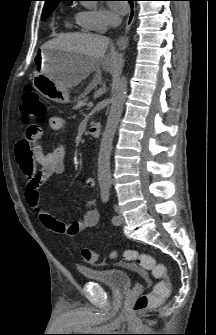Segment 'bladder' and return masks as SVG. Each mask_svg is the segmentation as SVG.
<instances>
[{
    "mask_svg": "<svg viewBox=\"0 0 216 335\" xmlns=\"http://www.w3.org/2000/svg\"><path fill=\"white\" fill-rule=\"evenodd\" d=\"M78 271L86 279L101 283L113 291L122 292L131 288V274L117 268L85 269L78 268Z\"/></svg>",
    "mask_w": 216,
    "mask_h": 335,
    "instance_id": "31cf9c89",
    "label": "bladder"
}]
</instances>
